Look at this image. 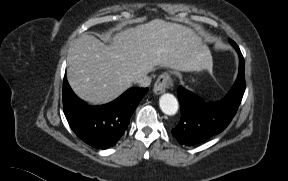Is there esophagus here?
Returning <instances> with one entry per match:
<instances>
[{"label": "esophagus", "instance_id": "esophagus-1", "mask_svg": "<svg viewBox=\"0 0 288 181\" xmlns=\"http://www.w3.org/2000/svg\"><path fill=\"white\" fill-rule=\"evenodd\" d=\"M172 87H173V82L171 80L170 75L168 73H163L156 80L154 84L153 92L156 95H160L164 93L167 89H170Z\"/></svg>", "mask_w": 288, "mask_h": 181}]
</instances>
